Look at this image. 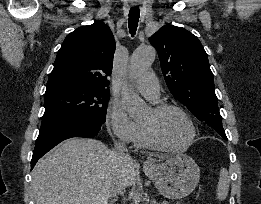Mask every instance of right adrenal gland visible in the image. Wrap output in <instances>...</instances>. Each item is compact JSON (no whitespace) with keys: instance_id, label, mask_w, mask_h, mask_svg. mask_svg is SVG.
<instances>
[{"instance_id":"1","label":"right adrenal gland","mask_w":261,"mask_h":204,"mask_svg":"<svg viewBox=\"0 0 261 204\" xmlns=\"http://www.w3.org/2000/svg\"><path fill=\"white\" fill-rule=\"evenodd\" d=\"M116 197L115 198H113L111 201H110V203L109 204H114L115 202H116Z\"/></svg>"}]
</instances>
